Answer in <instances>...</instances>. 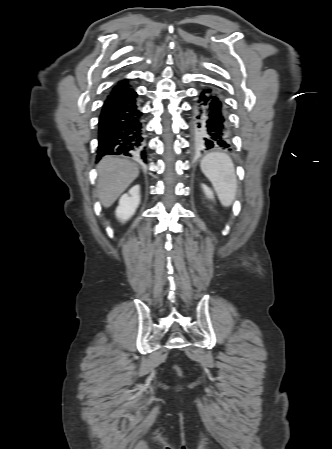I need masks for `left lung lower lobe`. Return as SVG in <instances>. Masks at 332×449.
<instances>
[{
    "instance_id": "left-lung-lower-lobe-1",
    "label": "left lung lower lobe",
    "mask_w": 332,
    "mask_h": 449,
    "mask_svg": "<svg viewBox=\"0 0 332 449\" xmlns=\"http://www.w3.org/2000/svg\"><path fill=\"white\" fill-rule=\"evenodd\" d=\"M192 144L196 152L231 151V134L224 102L218 91L205 87L197 96L191 118Z\"/></svg>"
}]
</instances>
